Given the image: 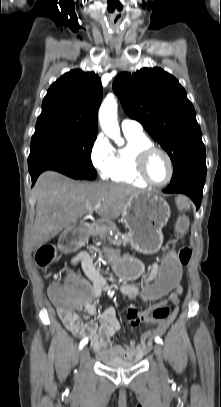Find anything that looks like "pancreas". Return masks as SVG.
Returning <instances> with one entry per match:
<instances>
[{
	"label": "pancreas",
	"mask_w": 221,
	"mask_h": 407,
	"mask_svg": "<svg viewBox=\"0 0 221 407\" xmlns=\"http://www.w3.org/2000/svg\"><path fill=\"white\" fill-rule=\"evenodd\" d=\"M118 239H110V243L114 245H127L130 241L128 235L118 234Z\"/></svg>",
	"instance_id": "1"
}]
</instances>
